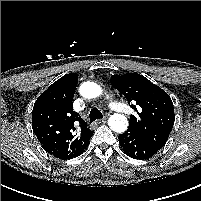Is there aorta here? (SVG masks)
Wrapping results in <instances>:
<instances>
[{"label": "aorta", "instance_id": "1", "mask_svg": "<svg viewBox=\"0 0 201 201\" xmlns=\"http://www.w3.org/2000/svg\"><path fill=\"white\" fill-rule=\"evenodd\" d=\"M80 93L83 97L92 99L102 95L103 89L94 82H84L80 87ZM108 124L112 130L122 133L127 129L128 120L123 114H113L108 119Z\"/></svg>", "mask_w": 201, "mask_h": 201}]
</instances>
